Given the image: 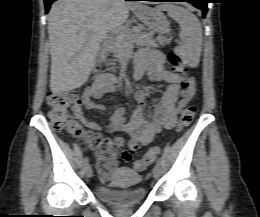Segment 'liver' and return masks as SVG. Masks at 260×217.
Masks as SVG:
<instances>
[{"instance_id":"liver-1","label":"liver","mask_w":260,"mask_h":217,"mask_svg":"<svg viewBox=\"0 0 260 217\" xmlns=\"http://www.w3.org/2000/svg\"><path fill=\"white\" fill-rule=\"evenodd\" d=\"M130 4L120 0H58L48 19L50 89L58 94L81 87L94 67L100 43L127 21Z\"/></svg>"}]
</instances>
